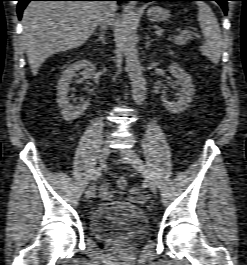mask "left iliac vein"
I'll return each instance as SVG.
<instances>
[{
  "mask_svg": "<svg viewBox=\"0 0 247 265\" xmlns=\"http://www.w3.org/2000/svg\"><path fill=\"white\" fill-rule=\"evenodd\" d=\"M121 156L123 159L130 164L133 168L139 171L145 178L146 183L150 190L155 194L157 192V187L154 179L149 173L146 165L142 159L137 155V153L132 149H124L121 151Z\"/></svg>",
  "mask_w": 247,
  "mask_h": 265,
  "instance_id": "4c4485c4",
  "label": "left iliac vein"
}]
</instances>
